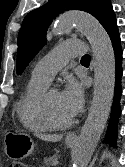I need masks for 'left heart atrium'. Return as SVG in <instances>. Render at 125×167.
Returning <instances> with one entry per match:
<instances>
[{"label":"left heart atrium","instance_id":"39dd6f15","mask_svg":"<svg viewBox=\"0 0 125 167\" xmlns=\"http://www.w3.org/2000/svg\"><path fill=\"white\" fill-rule=\"evenodd\" d=\"M60 98L64 109L72 117L82 108L84 103L83 84L73 77H68L60 92Z\"/></svg>","mask_w":125,"mask_h":167}]
</instances>
